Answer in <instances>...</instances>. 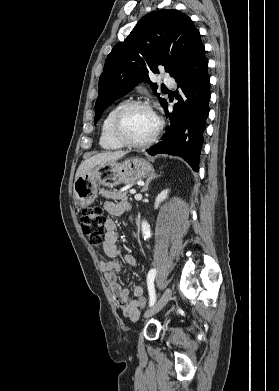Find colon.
<instances>
[{
	"mask_svg": "<svg viewBox=\"0 0 279 391\" xmlns=\"http://www.w3.org/2000/svg\"><path fill=\"white\" fill-rule=\"evenodd\" d=\"M105 216L103 209L99 206L85 208L81 216V227L87 236L90 244L94 247H100L103 243L105 233ZM139 309H146V300L143 296L137 298Z\"/></svg>",
	"mask_w": 279,
	"mask_h": 391,
	"instance_id": "colon-1",
	"label": "colon"
}]
</instances>
